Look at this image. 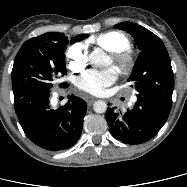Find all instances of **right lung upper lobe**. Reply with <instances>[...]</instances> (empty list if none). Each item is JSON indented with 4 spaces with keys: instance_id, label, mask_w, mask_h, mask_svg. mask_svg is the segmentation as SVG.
<instances>
[{
    "instance_id": "cb5924a9",
    "label": "right lung upper lobe",
    "mask_w": 187,
    "mask_h": 187,
    "mask_svg": "<svg viewBox=\"0 0 187 187\" xmlns=\"http://www.w3.org/2000/svg\"><path fill=\"white\" fill-rule=\"evenodd\" d=\"M57 34H58L57 32H49V33H45L43 35L44 36H55ZM84 36H88V35L87 34L86 35H79L78 37H84Z\"/></svg>"
}]
</instances>
